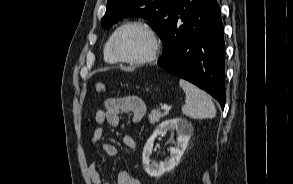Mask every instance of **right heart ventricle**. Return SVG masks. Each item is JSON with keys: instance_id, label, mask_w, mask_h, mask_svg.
<instances>
[{"instance_id": "e07e8e85", "label": "right heart ventricle", "mask_w": 293, "mask_h": 184, "mask_svg": "<svg viewBox=\"0 0 293 184\" xmlns=\"http://www.w3.org/2000/svg\"><path fill=\"white\" fill-rule=\"evenodd\" d=\"M110 40H111V36L108 38V40L106 41L104 48H103V57L105 62H107L108 64H115L117 63V60L113 57L111 50H110Z\"/></svg>"}]
</instances>
